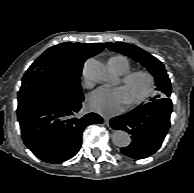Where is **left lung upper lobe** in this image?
<instances>
[{
  "label": "left lung upper lobe",
  "instance_id": "5c2ea615",
  "mask_svg": "<svg viewBox=\"0 0 194 193\" xmlns=\"http://www.w3.org/2000/svg\"><path fill=\"white\" fill-rule=\"evenodd\" d=\"M107 47L115 52L123 53L147 67L155 78L156 90L159 92L151 101L169 98L171 95V83L164 65L157 58L141 48L127 43H106Z\"/></svg>",
  "mask_w": 194,
  "mask_h": 193
}]
</instances>
